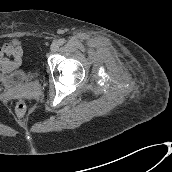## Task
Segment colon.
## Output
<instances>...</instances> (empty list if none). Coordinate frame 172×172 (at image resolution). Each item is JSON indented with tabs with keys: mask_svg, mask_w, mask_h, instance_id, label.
I'll return each instance as SVG.
<instances>
[{
	"mask_svg": "<svg viewBox=\"0 0 172 172\" xmlns=\"http://www.w3.org/2000/svg\"><path fill=\"white\" fill-rule=\"evenodd\" d=\"M15 108L17 112L24 113L26 111L27 105L26 102L22 99L16 101Z\"/></svg>",
	"mask_w": 172,
	"mask_h": 172,
	"instance_id": "5ec220e1",
	"label": "colon"
}]
</instances>
